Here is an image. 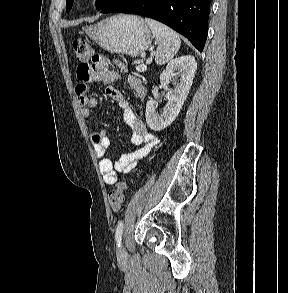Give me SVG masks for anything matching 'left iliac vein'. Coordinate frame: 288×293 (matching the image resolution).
<instances>
[{
    "label": "left iliac vein",
    "mask_w": 288,
    "mask_h": 293,
    "mask_svg": "<svg viewBox=\"0 0 288 293\" xmlns=\"http://www.w3.org/2000/svg\"><path fill=\"white\" fill-rule=\"evenodd\" d=\"M117 255L118 257H123L125 255V249L122 245H120L117 249Z\"/></svg>",
    "instance_id": "obj_1"
}]
</instances>
